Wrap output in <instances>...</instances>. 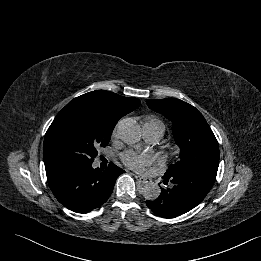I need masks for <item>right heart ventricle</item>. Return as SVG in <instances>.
<instances>
[{"label":"right heart ventricle","instance_id":"e07e8e85","mask_svg":"<svg viewBox=\"0 0 261 261\" xmlns=\"http://www.w3.org/2000/svg\"><path fill=\"white\" fill-rule=\"evenodd\" d=\"M153 122H160V121H158V120H156V119H154V118H148V119L146 120L145 124L153 123Z\"/></svg>","mask_w":261,"mask_h":261}]
</instances>
